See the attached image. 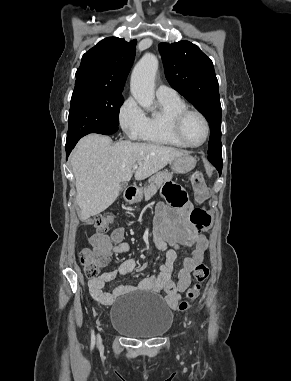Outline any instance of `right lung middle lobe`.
Masks as SVG:
<instances>
[{
  "label": "right lung middle lobe",
  "mask_w": 291,
  "mask_h": 381,
  "mask_svg": "<svg viewBox=\"0 0 291 381\" xmlns=\"http://www.w3.org/2000/svg\"><path fill=\"white\" fill-rule=\"evenodd\" d=\"M122 103V92L100 88L74 89L66 142L78 141L89 133L102 134L118 128Z\"/></svg>",
  "instance_id": "right-lung-middle-lobe-1"
}]
</instances>
